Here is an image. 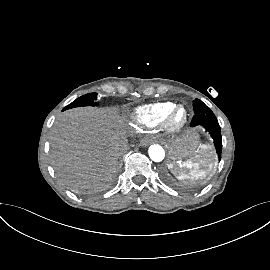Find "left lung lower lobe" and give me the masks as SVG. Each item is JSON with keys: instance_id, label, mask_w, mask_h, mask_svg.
Listing matches in <instances>:
<instances>
[{"instance_id": "left-lung-lower-lobe-1", "label": "left lung lower lobe", "mask_w": 270, "mask_h": 270, "mask_svg": "<svg viewBox=\"0 0 270 270\" xmlns=\"http://www.w3.org/2000/svg\"><path fill=\"white\" fill-rule=\"evenodd\" d=\"M197 125L203 126L207 132L210 133L211 137L214 140V144L217 150L218 158L219 160L221 159V151H222V137H221V131H220V126L218 124L217 119L214 120H206L203 121ZM197 125H192L191 126H197Z\"/></svg>"}]
</instances>
